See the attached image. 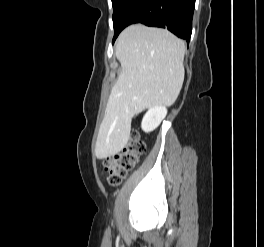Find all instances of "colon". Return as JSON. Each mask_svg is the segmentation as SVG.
<instances>
[{
  "label": "colon",
  "instance_id": "5ec220e1",
  "mask_svg": "<svg viewBox=\"0 0 264 247\" xmlns=\"http://www.w3.org/2000/svg\"><path fill=\"white\" fill-rule=\"evenodd\" d=\"M146 151L144 142L133 135L128 144L104 164L108 183L117 186L122 179L138 164Z\"/></svg>",
  "mask_w": 264,
  "mask_h": 247
}]
</instances>
